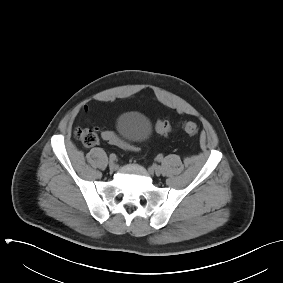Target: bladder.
<instances>
[{"instance_id": "31cf9c89", "label": "bladder", "mask_w": 283, "mask_h": 283, "mask_svg": "<svg viewBox=\"0 0 283 283\" xmlns=\"http://www.w3.org/2000/svg\"><path fill=\"white\" fill-rule=\"evenodd\" d=\"M119 135L129 143H140L151 134V124L146 116L131 111L121 114L116 120Z\"/></svg>"}]
</instances>
